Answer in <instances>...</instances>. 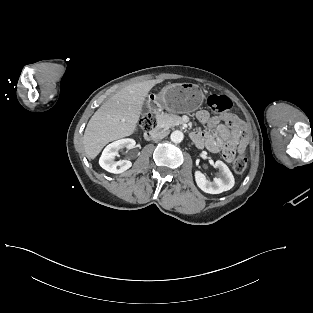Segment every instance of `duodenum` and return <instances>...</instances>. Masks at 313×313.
I'll return each mask as SVG.
<instances>
[{
	"instance_id": "obj_1",
	"label": "duodenum",
	"mask_w": 313,
	"mask_h": 313,
	"mask_svg": "<svg viewBox=\"0 0 313 313\" xmlns=\"http://www.w3.org/2000/svg\"><path fill=\"white\" fill-rule=\"evenodd\" d=\"M157 136H158V130H156V129L146 131V133H145V138L147 140L155 139Z\"/></svg>"
}]
</instances>
